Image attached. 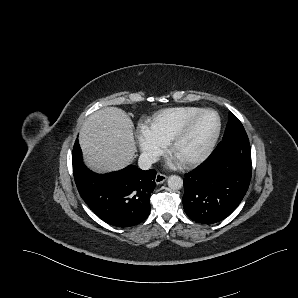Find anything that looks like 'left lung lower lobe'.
I'll return each mask as SVG.
<instances>
[{
  "instance_id": "obj_1",
  "label": "left lung lower lobe",
  "mask_w": 298,
  "mask_h": 298,
  "mask_svg": "<svg viewBox=\"0 0 298 298\" xmlns=\"http://www.w3.org/2000/svg\"><path fill=\"white\" fill-rule=\"evenodd\" d=\"M251 149L245 131L223 136L212 154L185 175L183 207L187 216L212 224L229 216L249 187Z\"/></svg>"
}]
</instances>
